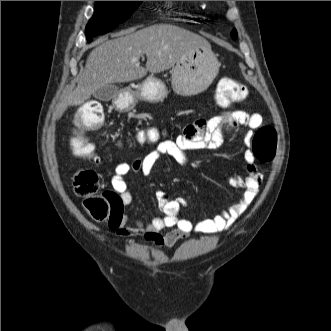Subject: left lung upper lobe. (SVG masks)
<instances>
[{
  "instance_id": "left-lung-upper-lobe-1",
  "label": "left lung upper lobe",
  "mask_w": 331,
  "mask_h": 331,
  "mask_svg": "<svg viewBox=\"0 0 331 331\" xmlns=\"http://www.w3.org/2000/svg\"><path fill=\"white\" fill-rule=\"evenodd\" d=\"M232 37L235 39L237 37V32L235 29H233L232 33H231Z\"/></svg>"
}]
</instances>
